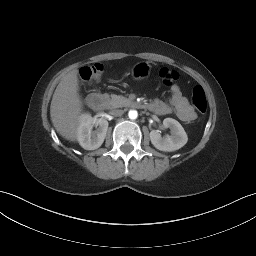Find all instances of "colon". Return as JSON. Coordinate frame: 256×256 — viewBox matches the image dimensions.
Masks as SVG:
<instances>
[{"label":"colon","mask_w":256,"mask_h":256,"mask_svg":"<svg viewBox=\"0 0 256 256\" xmlns=\"http://www.w3.org/2000/svg\"><path fill=\"white\" fill-rule=\"evenodd\" d=\"M103 72V65L95 63L85 66L79 71V79L82 82L88 83L101 76ZM159 78L162 84L171 85L176 82L179 75L176 70L163 67L159 71ZM191 102L199 113H205L207 110V100L204 89L200 85H196L192 90Z\"/></svg>","instance_id":"obj_1"}]
</instances>
